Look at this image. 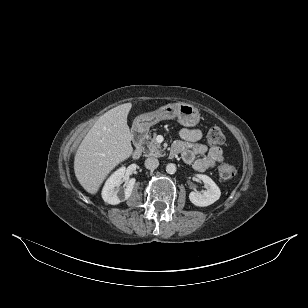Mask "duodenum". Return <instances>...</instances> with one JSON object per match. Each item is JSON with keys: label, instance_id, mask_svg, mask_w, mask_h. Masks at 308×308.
<instances>
[{"label": "duodenum", "instance_id": "1", "mask_svg": "<svg viewBox=\"0 0 308 308\" xmlns=\"http://www.w3.org/2000/svg\"><path fill=\"white\" fill-rule=\"evenodd\" d=\"M147 128L145 125H137L133 131V141L135 144V149L132 152V157L138 159L142 155V141L146 135ZM174 145L171 147V154L175 155Z\"/></svg>", "mask_w": 308, "mask_h": 308}]
</instances>
